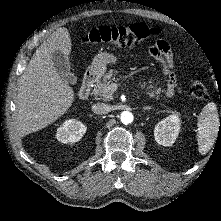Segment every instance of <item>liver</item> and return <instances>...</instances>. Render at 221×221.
Returning a JSON list of instances; mask_svg holds the SVG:
<instances>
[{"label": "liver", "mask_w": 221, "mask_h": 221, "mask_svg": "<svg viewBox=\"0 0 221 221\" xmlns=\"http://www.w3.org/2000/svg\"><path fill=\"white\" fill-rule=\"evenodd\" d=\"M71 37L65 27L58 28L35 51L21 75L16 97V127L23 136L56 121L72 105L74 91L58 73L53 53L69 58Z\"/></svg>", "instance_id": "1"}]
</instances>
